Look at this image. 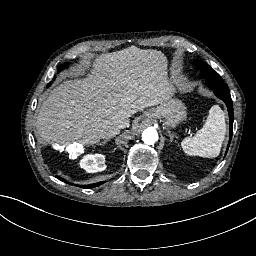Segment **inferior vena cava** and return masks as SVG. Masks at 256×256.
I'll return each mask as SVG.
<instances>
[{"instance_id":"1","label":"inferior vena cava","mask_w":256,"mask_h":256,"mask_svg":"<svg viewBox=\"0 0 256 256\" xmlns=\"http://www.w3.org/2000/svg\"><path fill=\"white\" fill-rule=\"evenodd\" d=\"M121 128H113V129H111V130H109L106 134H104L103 136H102V138H111V137H113V136H115V135H117L118 133H119V130H120Z\"/></svg>"}]
</instances>
